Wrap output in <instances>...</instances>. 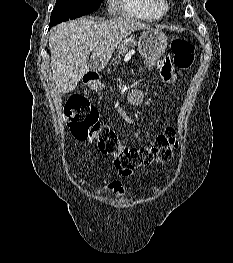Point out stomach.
<instances>
[{
	"label": "stomach",
	"instance_id": "0dacf381",
	"mask_svg": "<svg viewBox=\"0 0 233 263\" xmlns=\"http://www.w3.org/2000/svg\"><path fill=\"white\" fill-rule=\"evenodd\" d=\"M166 47L167 37L158 29H148L141 35L138 41V50L148 67L154 65L156 60L165 52ZM91 87L98 89L99 87L101 88V84L92 83Z\"/></svg>",
	"mask_w": 233,
	"mask_h": 263
}]
</instances>
